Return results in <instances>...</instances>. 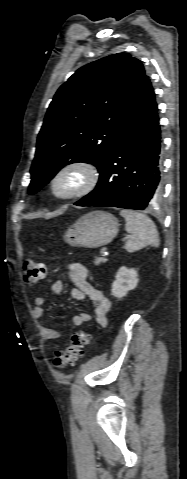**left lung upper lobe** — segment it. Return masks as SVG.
Wrapping results in <instances>:
<instances>
[{
    "label": "left lung upper lobe",
    "instance_id": "1",
    "mask_svg": "<svg viewBox=\"0 0 187 479\" xmlns=\"http://www.w3.org/2000/svg\"><path fill=\"white\" fill-rule=\"evenodd\" d=\"M145 77L140 60L117 53L81 67L58 89L38 135L29 194L67 164L103 167Z\"/></svg>",
    "mask_w": 187,
    "mask_h": 479
}]
</instances>
